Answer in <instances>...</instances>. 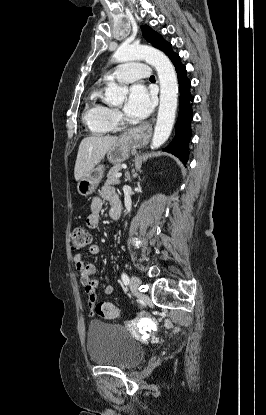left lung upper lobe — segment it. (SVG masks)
Wrapping results in <instances>:
<instances>
[{
  "label": "left lung upper lobe",
  "instance_id": "1",
  "mask_svg": "<svg viewBox=\"0 0 266 415\" xmlns=\"http://www.w3.org/2000/svg\"><path fill=\"white\" fill-rule=\"evenodd\" d=\"M141 30L144 38L152 44L153 47L162 50L169 58L176 54L171 49V44L166 42L158 33H156L151 27L144 25L141 26Z\"/></svg>",
  "mask_w": 266,
  "mask_h": 415
}]
</instances>
